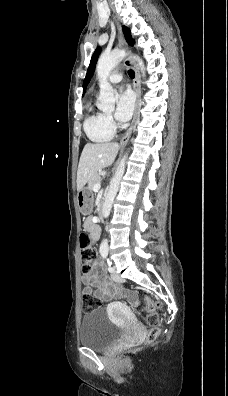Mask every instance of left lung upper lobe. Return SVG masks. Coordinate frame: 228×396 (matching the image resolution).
<instances>
[{
  "label": "left lung upper lobe",
  "instance_id": "left-lung-upper-lobe-1",
  "mask_svg": "<svg viewBox=\"0 0 228 396\" xmlns=\"http://www.w3.org/2000/svg\"><path fill=\"white\" fill-rule=\"evenodd\" d=\"M123 32H124V35H125V38H126L128 44L133 46L134 45V40L131 37L130 30L127 27L124 26L123 27ZM99 53H100V48L98 47L95 50L94 54L92 55V58H91V61H90V65L88 67L87 74H86V77H85L84 83H83V92H85L86 87H87L91 77L93 76L94 69H95V66H96V62H97Z\"/></svg>",
  "mask_w": 228,
  "mask_h": 396
}]
</instances>
